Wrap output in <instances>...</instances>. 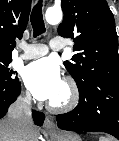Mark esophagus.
Masks as SVG:
<instances>
[{
  "label": "esophagus",
  "mask_w": 119,
  "mask_h": 141,
  "mask_svg": "<svg viewBox=\"0 0 119 141\" xmlns=\"http://www.w3.org/2000/svg\"><path fill=\"white\" fill-rule=\"evenodd\" d=\"M43 126H44V128H45L47 131H49V132L54 131L55 128H56L53 119H52L51 117H49V116H47V117L45 118V121H44Z\"/></svg>",
  "instance_id": "esophagus-1"
}]
</instances>
